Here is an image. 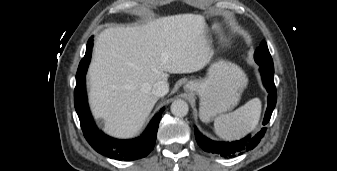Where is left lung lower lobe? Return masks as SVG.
I'll use <instances>...</instances> for the list:
<instances>
[{"label": "left lung lower lobe", "mask_w": 337, "mask_h": 171, "mask_svg": "<svg viewBox=\"0 0 337 171\" xmlns=\"http://www.w3.org/2000/svg\"><path fill=\"white\" fill-rule=\"evenodd\" d=\"M262 80L266 90L268 91V106L264 116L263 125H266L272 115V112L276 105L277 91L274 84V67L265 66L259 64ZM266 128H262L255 136H247L240 141H235L231 143L225 142H215L207 137L203 136L195 128V137L199 146L206 152H211L216 156L221 157H234L236 155H242L244 152L249 151L257 146L261 138L264 136Z\"/></svg>", "instance_id": "left-lung-lower-lobe-1"}]
</instances>
